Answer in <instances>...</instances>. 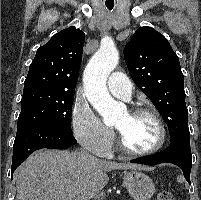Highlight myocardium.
<instances>
[{
  "instance_id": "f54148a6",
  "label": "myocardium",
  "mask_w": 201,
  "mask_h": 200,
  "mask_svg": "<svg viewBox=\"0 0 201 200\" xmlns=\"http://www.w3.org/2000/svg\"><path fill=\"white\" fill-rule=\"evenodd\" d=\"M128 113L131 116L148 115V116L152 117L156 121V123L159 127L160 138H159V141L157 142V144L155 146H153L152 148L138 151V150L132 149L130 146H128V144L126 143V141L124 139L123 134L117 129L119 148L124 153L133 155V156H148V155H152V154H155L158 151H160L165 146L167 137H168L167 128H166L165 123H164L163 119L161 118V116L156 111H154L148 107H145V106L133 107L128 111Z\"/></svg>"
}]
</instances>
